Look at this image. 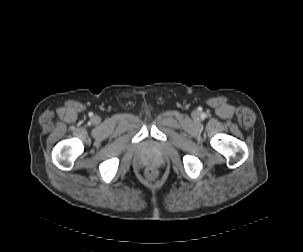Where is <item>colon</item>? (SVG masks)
<instances>
[{"instance_id": "5ec220e1", "label": "colon", "mask_w": 303, "mask_h": 252, "mask_svg": "<svg viewBox=\"0 0 303 252\" xmlns=\"http://www.w3.org/2000/svg\"><path fill=\"white\" fill-rule=\"evenodd\" d=\"M158 170L155 167H150L146 171V175L149 179L155 180L158 177Z\"/></svg>"}]
</instances>
